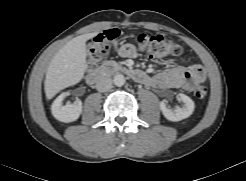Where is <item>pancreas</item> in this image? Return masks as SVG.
<instances>
[{
	"mask_svg": "<svg viewBox=\"0 0 246 181\" xmlns=\"http://www.w3.org/2000/svg\"><path fill=\"white\" fill-rule=\"evenodd\" d=\"M105 65L111 66V67H113L114 69H119V68L121 67V65L118 64V63L115 62V61H108V62L105 63Z\"/></svg>",
	"mask_w": 246,
	"mask_h": 181,
	"instance_id": "cf45deb5",
	"label": "pancreas"
}]
</instances>
